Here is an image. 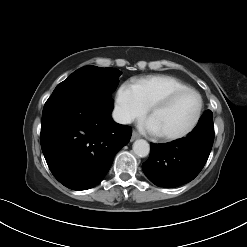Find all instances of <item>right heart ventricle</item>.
Masks as SVG:
<instances>
[{"instance_id": "e07e8e85", "label": "right heart ventricle", "mask_w": 247, "mask_h": 247, "mask_svg": "<svg viewBox=\"0 0 247 247\" xmlns=\"http://www.w3.org/2000/svg\"><path fill=\"white\" fill-rule=\"evenodd\" d=\"M141 101L149 108L155 101L165 94L189 86L181 80L169 75H151L138 80L135 84Z\"/></svg>"}]
</instances>
